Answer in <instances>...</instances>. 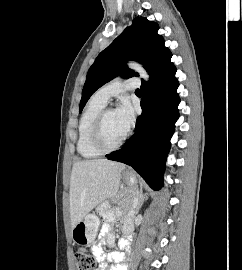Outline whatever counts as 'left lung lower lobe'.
<instances>
[{
	"instance_id": "left-lung-lower-lobe-1",
	"label": "left lung lower lobe",
	"mask_w": 242,
	"mask_h": 270,
	"mask_svg": "<svg viewBox=\"0 0 242 270\" xmlns=\"http://www.w3.org/2000/svg\"><path fill=\"white\" fill-rule=\"evenodd\" d=\"M175 73L169 60L150 74L148 84L142 80V115L137 118L135 134L124 148L106 155L110 160L132 166L154 190L163 186L170 138L179 117Z\"/></svg>"
}]
</instances>
